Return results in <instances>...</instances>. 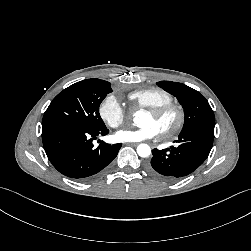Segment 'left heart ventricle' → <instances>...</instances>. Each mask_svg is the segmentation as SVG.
I'll list each match as a JSON object with an SVG mask.
<instances>
[{"mask_svg":"<svg viewBox=\"0 0 251 251\" xmlns=\"http://www.w3.org/2000/svg\"><path fill=\"white\" fill-rule=\"evenodd\" d=\"M175 120H176V117L173 113H169L161 118H155L151 114L146 112L142 116L140 123L142 125L151 124L155 126L157 130L160 132V131H163L172 127L173 124L175 123Z\"/></svg>","mask_w":251,"mask_h":251,"instance_id":"obj_1","label":"left heart ventricle"}]
</instances>
